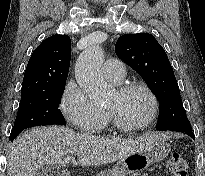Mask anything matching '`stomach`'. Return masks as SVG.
Instances as JSON below:
<instances>
[{
	"instance_id": "obj_1",
	"label": "stomach",
	"mask_w": 205,
	"mask_h": 176,
	"mask_svg": "<svg viewBox=\"0 0 205 176\" xmlns=\"http://www.w3.org/2000/svg\"><path fill=\"white\" fill-rule=\"evenodd\" d=\"M169 153V144L161 142L149 149L139 151L121 159L115 167L103 176H126L140 172L154 163L162 161Z\"/></svg>"
}]
</instances>
